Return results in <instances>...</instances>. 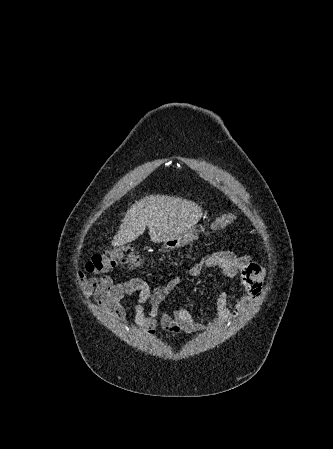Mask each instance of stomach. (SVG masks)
Here are the masks:
<instances>
[{"label":"stomach","instance_id":"1","mask_svg":"<svg viewBox=\"0 0 333 449\" xmlns=\"http://www.w3.org/2000/svg\"><path fill=\"white\" fill-rule=\"evenodd\" d=\"M198 223V222H197ZM197 223L191 228L185 230L182 234L176 237H172L168 240L163 241L162 248L164 250H173L180 247L183 244H187L192 240L198 239V230L196 229Z\"/></svg>","mask_w":333,"mask_h":449}]
</instances>
